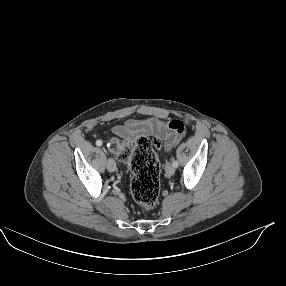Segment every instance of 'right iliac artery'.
Returning a JSON list of instances; mask_svg holds the SVG:
<instances>
[{
    "instance_id": "obj_1",
    "label": "right iliac artery",
    "mask_w": 286,
    "mask_h": 286,
    "mask_svg": "<svg viewBox=\"0 0 286 286\" xmlns=\"http://www.w3.org/2000/svg\"><path fill=\"white\" fill-rule=\"evenodd\" d=\"M96 145H97V146H101V145H102V141H101V140H97V141H96Z\"/></svg>"
}]
</instances>
